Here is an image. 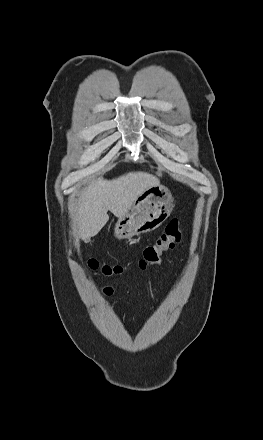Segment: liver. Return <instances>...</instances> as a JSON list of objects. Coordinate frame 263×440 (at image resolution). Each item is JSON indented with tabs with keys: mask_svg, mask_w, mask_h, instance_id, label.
<instances>
[{
	"mask_svg": "<svg viewBox=\"0 0 263 440\" xmlns=\"http://www.w3.org/2000/svg\"><path fill=\"white\" fill-rule=\"evenodd\" d=\"M159 179L147 172H129L118 178H99L84 188L75 209L77 234L90 238L99 233L109 220L108 211L122 218L135 199Z\"/></svg>",
	"mask_w": 263,
	"mask_h": 440,
	"instance_id": "liver-1",
	"label": "liver"
}]
</instances>
